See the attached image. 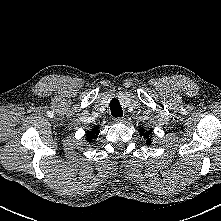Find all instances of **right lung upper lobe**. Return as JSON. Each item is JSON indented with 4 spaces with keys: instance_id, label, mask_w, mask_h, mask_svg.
Returning a JSON list of instances; mask_svg holds the SVG:
<instances>
[{
    "instance_id": "obj_1",
    "label": "right lung upper lobe",
    "mask_w": 221,
    "mask_h": 221,
    "mask_svg": "<svg viewBox=\"0 0 221 221\" xmlns=\"http://www.w3.org/2000/svg\"><path fill=\"white\" fill-rule=\"evenodd\" d=\"M99 133V128L95 127L91 131L87 132L86 139L91 142L93 139L97 137Z\"/></svg>"
}]
</instances>
